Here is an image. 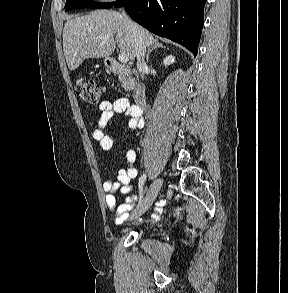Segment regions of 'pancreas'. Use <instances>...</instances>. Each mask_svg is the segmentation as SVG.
Instances as JSON below:
<instances>
[{
  "label": "pancreas",
  "mask_w": 288,
  "mask_h": 293,
  "mask_svg": "<svg viewBox=\"0 0 288 293\" xmlns=\"http://www.w3.org/2000/svg\"><path fill=\"white\" fill-rule=\"evenodd\" d=\"M119 82L121 83V86L127 91H131L134 87L133 79L130 77H126L123 72L119 74Z\"/></svg>",
  "instance_id": "pancreas-1"
}]
</instances>
